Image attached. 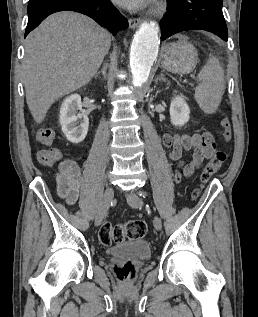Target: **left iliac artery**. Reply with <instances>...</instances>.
<instances>
[{
    "label": "left iliac artery",
    "mask_w": 258,
    "mask_h": 317,
    "mask_svg": "<svg viewBox=\"0 0 258 317\" xmlns=\"http://www.w3.org/2000/svg\"><path fill=\"white\" fill-rule=\"evenodd\" d=\"M138 195L140 197L146 198V197H148V192L147 191H138Z\"/></svg>",
    "instance_id": "left-iliac-artery-1"
}]
</instances>
